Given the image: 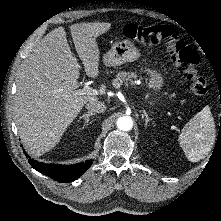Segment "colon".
I'll return each mask as SVG.
<instances>
[{
	"mask_svg": "<svg viewBox=\"0 0 221 221\" xmlns=\"http://www.w3.org/2000/svg\"><path fill=\"white\" fill-rule=\"evenodd\" d=\"M123 34L146 46L164 44L176 67L188 81L191 92L196 96L205 95L207 85L199 71V56L179 38L177 29L170 25L128 24L123 28Z\"/></svg>",
	"mask_w": 221,
	"mask_h": 221,
	"instance_id": "1",
	"label": "colon"
}]
</instances>
